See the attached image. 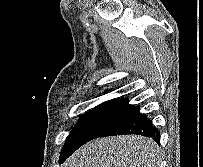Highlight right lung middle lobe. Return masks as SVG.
<instances>
[{"label":"right lung middle lobe","instance_id":"1","mask_svg":"<svg viewBox=\"0 0 203 167\" xmlns=\"http://www.w3.org/2000/svg\"><path fill=\"white\" fill-rule=\"evenodd\" d=\"M132 108L133 106H118L111 103L96 106L80 117L63 147L72 154L86 142L107 132Z\"/></svg>","mask_w":203,"mask_h":167}]
</instances>
